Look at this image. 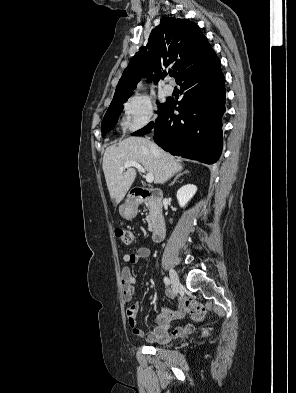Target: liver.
I'll use <instances>...</instances> for the list:
<instances>
[{
	"label": "liver",
	"mask_w": 296,
	"mask_h": 393,
	"mask_svg": "<svg viewBox=\"0 0 296 393\" xmlns=\"http://www.w3.org/2000/svg\"><path fill=\"white\" fill-rule=\"evenodd\" d=\"M152 142L142 137H129L117 145L109 146L104 153L102 168L110 197L119 204L136 178V170L121 167L127 161H136L143 165L148 173L154 175L156 184H163L175 173L181 171L182 164L172 155L156 146L157 152L151 149Z\"/></svg>",
	"instance_id": "1"
}]
</instances>
